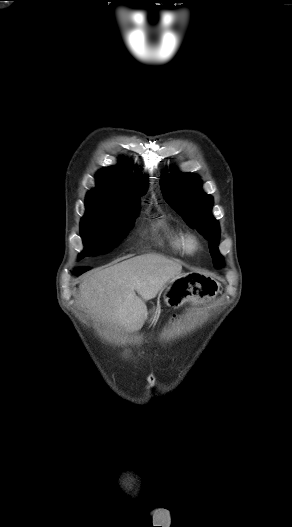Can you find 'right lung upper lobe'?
Masks as SVG:
<instances>
[{
    "label": "right lung upper lobe",
    "mask_w": 292,
    "mask_h": 527,
    "mask_svg": "<svg viewBox=\"0 0 292 527\" xmlns=\"http://www.w3.org/2000/svg\"><path fill=\"white\" fill-rule=\"evenodd\" d=\"M132 167L126 161H120L119 165L102 169L96 175L97 186L88 192L87 197L115 204H139L140 196L147 191L148 178L134 176Z\"/></svg>",
    "instance_id": "cb5924a9"
}]
</instances>
